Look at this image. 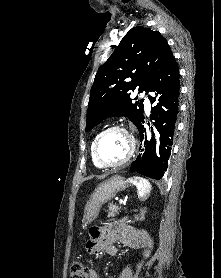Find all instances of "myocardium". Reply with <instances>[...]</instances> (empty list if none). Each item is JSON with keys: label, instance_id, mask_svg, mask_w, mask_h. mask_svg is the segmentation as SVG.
Segmentation results:
<instances>
[{"label": "myocardium", "instance_id": "f54148a6", "mask_svg": "<svg viewBox=\"0 0 221 278\" xmlns=\"http://www.w3.org/2000/svg\"><path fill=\"white\" fill-rule=\"evenodd\" d=\"M112 131H118V132H121L126 135V137L129 140V150H128L126 157L124 159H122L120 162L115 163V164H105L99 158L98 145H99V142L102 139V137ZM135 150H136V140H135V137L133 136V134L125 127L118 126V125H114V126L104 129L102 132H100L96 136L94 143H93L94 160L99 165V167L104 168V169H117V168L124 166L126 163H128L131 160V158L133 157V155L135 153Z\"/></svg>", "mask_w": 221, "mask_h": 278}]
</instances>
